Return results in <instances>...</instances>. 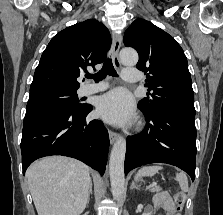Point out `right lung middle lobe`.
<instances>
[{
    "label": "right lung middle lobe",
    "instance_id": "right-lung-middle-lobe-1",
    "mask_svg": "<svg viewBox=\"0 0 223 215\" xmlns=\"http://www.w3.org/2000/svg\"><path fill=\"white\" fill-rule=\"evenodd\" d=\"M76 91L46 90L30 93L25 117L56 110H81Z\"/></svg>",
    "mask_w": 223,
    "mask_h": 215
}]
</instances>
